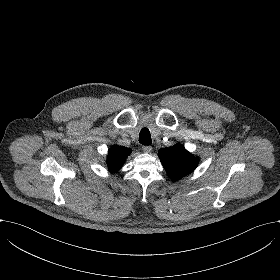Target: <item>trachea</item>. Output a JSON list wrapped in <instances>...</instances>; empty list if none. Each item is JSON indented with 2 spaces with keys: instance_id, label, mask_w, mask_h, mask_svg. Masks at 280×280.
<instances>
[{
  "instance_id": "obj_1",
  "label": "trachea",
  "mask_w": 280,
  "mask_h": 280,
  "mask_svg": "<svg viewBox=\"0 0 280 280\" xmlns=\"http://www.w3.org/2000/svg\"><path fill=\"white\" fill-rule=\"evenodd\" d=\"M139 142L142 145H150L152 143L150 131L147 128H143L140 131Z\"/></svg>"
}]
</instances>
